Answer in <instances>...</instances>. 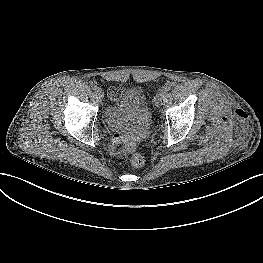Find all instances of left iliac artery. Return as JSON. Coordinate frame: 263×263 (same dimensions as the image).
I'll use <instances>...</instances> for the list:
<instances>
[{"label":"left iliac artery","mask_w":263,"mask_h":263,"mask_svg":"<svg viewBox=\"0 0 263 263\" xmlns=\"http://www.w3.org/2000/svg\"><path fill=\"white\" fill-rule=\"evenodd\" d=\"M159 95H160L161 97H164V96L166 95V92H165L164 90H161V91L159 92Z\"/></svg>","instance_id":"44dca946"}]
</instances>
